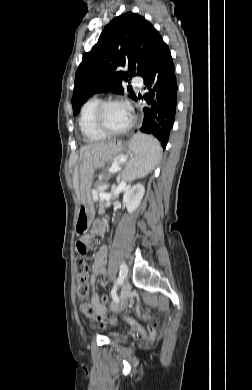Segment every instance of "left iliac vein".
<instances>
[{
    "label": "left iliac vein",
    "instance_id": "obj_1",
    "mask_svg": "<svg viewBox=\"0 0 252 390\" xmlns=\"http://www.w3.org/2000/svg\"><path fill=\"white\" fill-rule=\"evenodd\" d=\"M130 292H131V287H130L129 282L126 280L122 285L121 305H120V308L118 310L121 311L127 306L129 299H130Z\"/></svg>",
    "mask_w": 252,
    "mask_h": 390
}]
</instances>
